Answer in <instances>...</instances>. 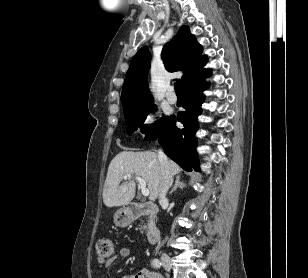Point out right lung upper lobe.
<instances>
[{
    "label": "right lung upper lobe",
    "instance_id": "obj_1",
    "mask_svg": "<svg viewBox=\"0 0 308 278\" xmlns=\"http://www.w3.org/2000/svg\"><path fill=\"white\" fill-rule=\"evenodd\" d=\"M201 53L202 47L191 34L188 26H182L177 35L162 49L161 56L166 70L183 71L184 91L209 74V70L202 69L207 59ZM149 69L150 53L146 47H143L133 57L125 77L121 96L124 112L153 103L150 92L146 91Z\"/></svg>",
    "mask_w": 308,
    "mask_h": 278
}]
</instances>
